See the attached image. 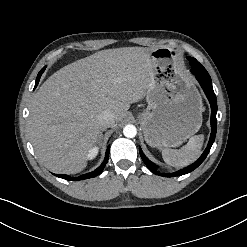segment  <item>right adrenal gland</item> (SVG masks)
Wrapping results in <instances>:
<instances>
[{
  "mask_svg": "<svg viewBox=\"0 0 247 247\" xmlns=\"http://www.w3.org/2000/svg\"><path fill=\"white\" fill-rule=\"evenodd\" d=\"M103 131H105V129H102L99 139H101V137L103 135Z\"/></svg>",
  "mask_w": 247,
  "mask_h": 247,
  "instance_id": "2a0ac1e0",
  "label": "right adrenal gland"
}]
</instances>
